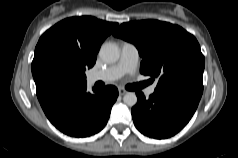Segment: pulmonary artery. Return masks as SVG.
Wrapping results in <instances>:
<instances>
[{"mask_svg":"<svg viewBox=\"0 0 238 158\" xmlns=\"http://www.w3.org/2000/svg\"><path fill=\"white\" fill-rule=\"evenodd\" d=\"M120 59L118 63L108 67L105 70L93 72L88 76V82L93 84L97 81L112 82L126 73L135 71L139 53L135 45L129 42H123L120 47ZM156 85H151L145 90L147 96L152 95L155 91Z\"/></svg>","mask_w":238,"mask_h":158,"instance_id":"obj_1","label":"pulmonary artery"}]
</instances>
